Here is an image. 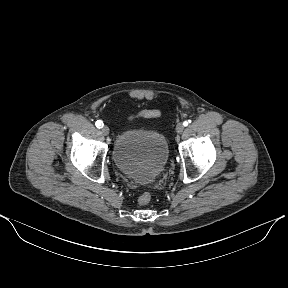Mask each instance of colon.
Masks as SVG:
<instances>
[{"label":"colon","instance_id":"colon-1","mask_svg":"<svg viewBox=\"0 0 288 288\" xmlns=\"http://www.w3.org/2000/svg\"><path fill=\"white\" fill-rule=\"evenodd\" d=\"M160 115H161V111L160 110L146 109V110H142V111L138 112L137 114L131 116L130 119H134V118H138V117L155 118V117H158ZM150 201H151V195L148 192L142 193L138 197V203L140 205H147L148 203H150Z\"/></svg>","mask_w":288,"mask_h":288}]
</instances>
